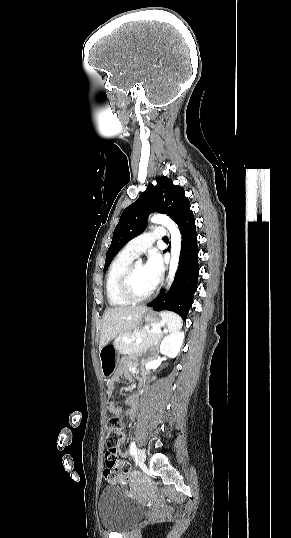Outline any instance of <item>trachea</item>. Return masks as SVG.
Listing matches in <instances>:
<instances>
[{
    "instance_id": "1",
    "label": "trachea",
    "mask_w": 291,
    "mask_h": 538,
    "mask_svg": "<svg viewBox=\"0 0 291 538\" xmlns=\"http://www.w3.org/2000/svg\"><path fill=\"white\" fill-rule=\"evenodd\" d=\"M163 240H164V241H167V240H168V237H164Z\"/></svg>"
}]
</instances>
